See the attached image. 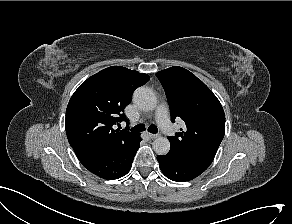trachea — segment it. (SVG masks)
Returning <instances> with one entry per match:
<instances>
[{
	"mask_svg": "<svg viewBox=\"0 0 292 224\" xmlns=\"http://www.w3.org/2000/svg\"><path fill=\"white\" fill-rule=\"evenodd\" d=\"M131 131H135V132H142L145 131V126L143 124H138L135 127L131 128ZM148 131L150 133L156 134L158 132V129L155 125H150L148 127Z\"/></svg>",
	"mask_w": 292,
	"mask_h": 224,
	"instance_id": "1",
	"label": "trachea"
}]
</instances>
